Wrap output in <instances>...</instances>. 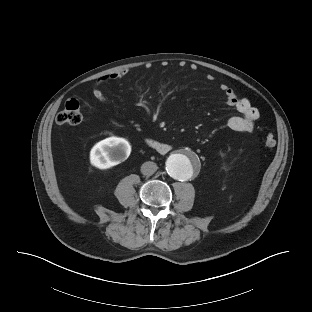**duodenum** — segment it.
<instances>
[{"label": "duodenum", "instance_id": "obj_1", "mask_svg": "<svg viewBox=\"0 0 312 312\" xmlns=\"http://www.w3.org/2000/svg\"><path fill=\"white\" fill-rule=\"evenodd\" d=\"M146 144L155 152L165 154L171 150V146L167 143L160 142L158 140L148 138Z\"/></svg>", "mask_w": 312, "mask_h": 312}]
</instances>
